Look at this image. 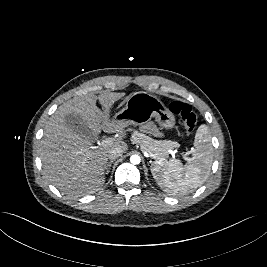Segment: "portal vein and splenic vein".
<instances>
[{
    "label": "portal vein and splenic vein",
    "instance_id": "portal-vein-and-splenic-vein-1",
    "mask_svg": "<svg viewBox=\"0 0 267 267\" xmlns=\"http://www.w3.org/2000/svg\"><path fill=\"white\" fill-rule=\"evenodd\" d=\"M113 141H114L113 138H105L104 140H102V142L100 143V145H102V146H104V145H108V144L112 143ZM170 153H171L172 155L175 154L173 151H170ZM143 154H144L145 157L154 158V156H153L152 154H149V153H147V152H145V151L143 152ZM185 158L187 159V157H185Z\"/></svg>",
    "mask_w": 267,
    "mask_h": 267
}]
</instances>
